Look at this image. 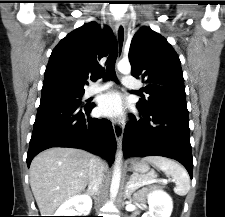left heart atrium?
<instances>
[{
	"instance_id": "39dd6f15",
	"label": "left heart atrium",
	"mask_w": 225,
	"mask_h": 217,
	"mask_svg": "<svg viewBox=\"0 0 225 217\" xmlns=\"http://www.w3.org/2000/svg\"><path fill=\"white\" fill-rule=\"evenodd\" d=\"M100 114L110 118H120L124 113V100L116 91L102 95L98 103Z\"/></svg>"
}]
</instances>
